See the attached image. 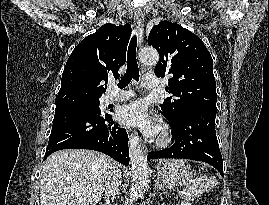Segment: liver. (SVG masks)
I'll return each instance as SVG.
<instances>
[{"instance_id":"liver-1","label":"liver","mask_w":269,"mask_h":205,"mask_svg":"<svg viewBox=\"0 0 269 205\" xmlns=\"http://www.w3.org/2000/svg\"><path fill=\"white\" fill-rule=\"evenodd\" d=\"M111 163V158L93 150L53 153L41 173V205H97Z\"/></svg>"}]
</instances>
